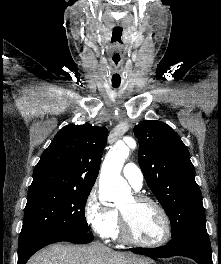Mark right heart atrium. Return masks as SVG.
<instances>
[{
    "label": "right heart atrium",
    "instance_id": "right-heart-atrium-1",
    "mask_svg": "<svg viewBox=\"0 0 221 264\" xmlns=\"http://www.w3.org/2000/svg\"><path fill=\"white\" fill-rule=\"evenodd\" d=\"M83 213L89 227L100 237L107 238L117 224V212L102 204L95 189L87 195Z\"/></svg>",
    "mask_w": 221,
    "mask_h": 264
}]
</instances>
